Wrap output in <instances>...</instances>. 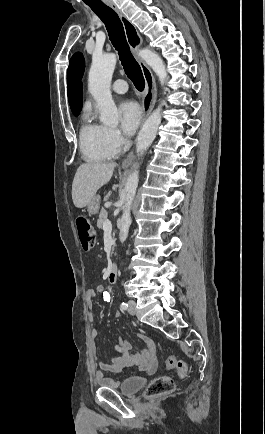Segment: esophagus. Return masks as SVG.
Wrapping results in <instances>:
<instances>
[{"instance_id":"34e87169","label":"esophagus","mask_w":265,"mask_h":434,"mask_svg":"<svg viewBox=\"0 0 265 434\" xmlns=\"http://www.w3.org/2000/svg\"><path fill=\"white\" fill-rule=\"evenodd\" d=\"M109 7H111L119 16L124 30L126 34V40L128 44L130 45L132 51L136 54L138 49L142 45V38L136 28V26L129 20L124 13L119 10L114 3H107ZM137 62L139 63L141 70L143 72V77L145 79V94L142 101V123L145 122L147 117L152 112V109L154 108L155 102H156V95H157V87L156 82L154 79V76L151 72V70L147 67V65L137 57ZM134 158V151H131L126 158L122 162V167H129L132 160Z\"/></svg>"}]
</instances>
